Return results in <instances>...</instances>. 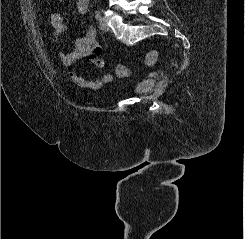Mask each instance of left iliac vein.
Masks as SVG:
<instances>
[{
    "label": "left iliac vein",
    "mask_w": 245,
    "mask_h": 239,
    "mask_svg": "<svg viewBox=\"0 0 245 239\" xmlns=\"http://www.w3.org/2000/svg\"><path fill=\"white\" fill-rule=\"evenodd\" d=\"M100 27L103 31H109V26L105 18H100L99 20Z\"/></svg>",
    "instance_id": "obj_1"
}]
</instances>
